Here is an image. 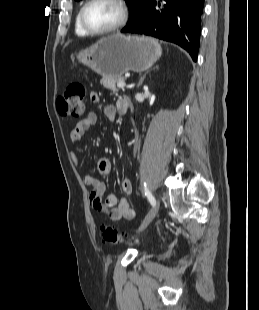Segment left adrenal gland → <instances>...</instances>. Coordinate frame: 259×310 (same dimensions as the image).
I'll return each instance as SVG.
<instances>
[{"label":"left adrenal gland","mask_w":259,"mask_h":310,"mask_svg":"<svg viewBox=\"0 0 259 310\" xmlns=\"http://www.w3.org/2000/svg\"><path fill=\"white\" fill-rule=\"evenodd\" d=\"M157 68H158V67H157ZM145 77H146V74H144L143 77H141V79H140V81H139V83H138V85H137L138 88L142 85V83H143Z\"/></svg>","instance_id":"1"}]
</instances>
